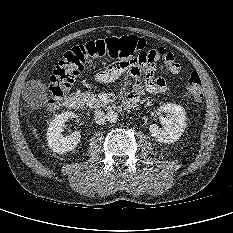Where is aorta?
I'll list each match as a JSON object with an SVG mask.
<instances>
[{"instance_id": "obj_1", "label": "aorta", "mask_w": 233, "mask_h": 233, "mask_svg": "<svg viewBox=\"0 0 233 233\" xmlns=\"http://www.w3.org/2000/svg\"><path fill=\"white\" fill-rule=\"evenodd\" d=\"M106 117L109 123H115L118 120V114L115 111H109Z\"/></svg>"}]
</instances>
